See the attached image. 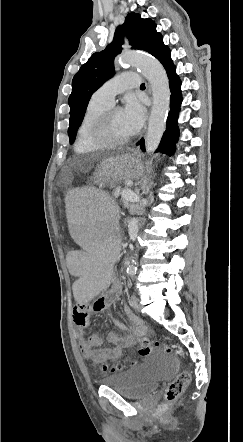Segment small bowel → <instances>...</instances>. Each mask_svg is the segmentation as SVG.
<instances>
[{"mask_svg":"<svg viewBox=\"0 0 243 442\" xmlns=\"http://www.w3.org/2000/svg\"><path fill=\"white\" fill-rule=\"evenodd\" d=\"M121 292L120 286L116 283L112 286L110 291L102 297L101 300L93 304L92 310L95 313L101 312L105 307L111 305L119 296ZM125 313L131 322L132 328L129 330L128 326L119 320L113 319L112 323L115 327L126 331L124 335H119L115 332H110L107 335V342L109 346H103V339L94 334L90 338L86 337L85 328L89 323L90 313L88 305H83L79 302L73 310V319L77 326L76 337L78 339L80 350L83 356L93 363H103L109 361L111 358H118L124 349L135 345L137 337L145 332V327L142 321L130 310L125 308Z\"/></svg>","mask_w":243,"mask_h":442,"instance_id":"c3829d8e","label":"small bowel"}]
</instances>
